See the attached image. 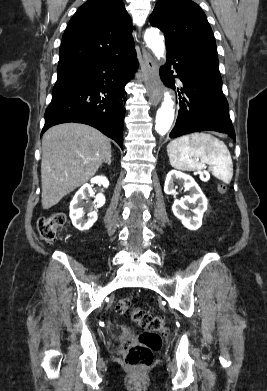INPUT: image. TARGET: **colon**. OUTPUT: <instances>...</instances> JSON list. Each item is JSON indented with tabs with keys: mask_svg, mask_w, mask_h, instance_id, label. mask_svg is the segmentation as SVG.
I'll list each match as a JSON object with an SVG mask.
<instances>
[{
	"mask_svg": "<svg viewBox=\"0 0 267 391\" xmlns=\"http://www.w3.org/2000/svg\"><path fill=\"white\" fill-rule=\"evenodd\" d=\"M220 189L223 191L225 188L221 186ZM66 224L67 216L62 212H54L39 218L37 228L45 242H53ZM115 312L117 316L128 314L142 330L136 339L127 338L119 347L125 366L132 370L147 369L153 362L154 353L161 348L162 337L168 333L166 320L139 307H132L128 299L119 300Z\"/></svg>",
	"mask_w": 267,
	"mask_h": 391,
	"instance_id": "obj_1",
	"label": "colon"
}]
</instances>
